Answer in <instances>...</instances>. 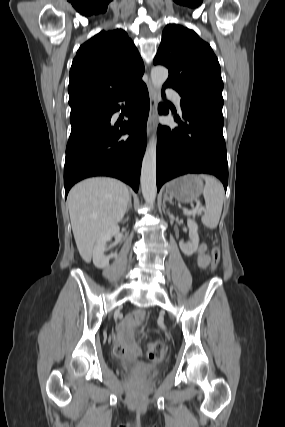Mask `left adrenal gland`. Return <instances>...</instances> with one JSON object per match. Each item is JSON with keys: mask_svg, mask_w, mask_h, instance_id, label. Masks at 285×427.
<instances>
[{"mask_svg": "<svg viewBox=\"0 0 285 427\" xmlns=\"http://www.w3.org/2000/svg\"><path fill=\"white\" fill-rule=\"evenodd\" d=\"M166 201H168L170 204H172V200L168 198L167 194L164 195L163 203H165Z\"/></svg>", "mask_w": 285, "mask_h": 427, "instance_id": "left-adrenal-gland-1", "label": "left adrenal gland"}]
</instances>
